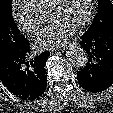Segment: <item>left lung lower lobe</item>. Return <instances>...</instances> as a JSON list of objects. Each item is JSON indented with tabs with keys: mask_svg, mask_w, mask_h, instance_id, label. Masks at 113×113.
Returning a JSON list of instances; mask_svg holds the SVG:
<instances>
[{
	"mask_svg": "<svg viewBox=\"0 0 113 113\" xmlns=\"http://www.w3.org/2000/svg\"><path fill=\"white\" fill-rule=\"evenodd\" d=\"M80 45L88 62L77 72L78 82L86 91L102 92L113 84V27L97 33L85 32Z\"/></svg>",
	"mask_w": 113,
	"mask_h": 113,
	"instance_id": "left-lung-lower-lobe-1",
	"label": "left lung lower lobe"
}]
</instances>
